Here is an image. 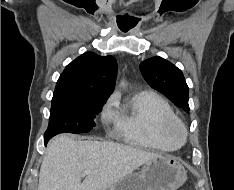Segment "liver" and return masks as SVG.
<instances>
[{"instance_id":"1","label":"liver","mask_w":234,"mask_h":190,"mask_svg":"<svg viewBox=\"0 0 234 190\" xmlns=\"http://www.w3.org/2000/svg\"><path fill=\"white\" fill-rule=\"evenodd\" d=\"M157 153L110 141L54 137L41 164L38 190H107ZM84 171H89L81 182Z\"/></svg>"}]
</instances>
